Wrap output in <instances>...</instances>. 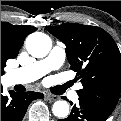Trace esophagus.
<instances>
[{
	"mask_svg": "<svg viewBox=\"0 0 121 121\" xmlns=\"http://www.w3.org/2000/svg\"><path fill=\"white\" fill-rule=\"evenodd\" d=\"M45 98L49 101H55L57 99V97L55 95H52V94H45Z\"/></svg>",
	"mask_w": 121,
	"mask_h": 121,
	"instance_id": "34e87169",
	"label": "esophagus"
}]
</instances>
